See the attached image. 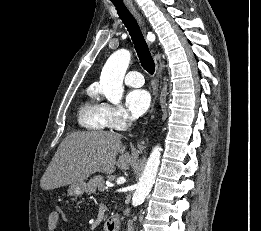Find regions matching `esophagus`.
Here are the masks:
<instances>
[{
    "mask_svg": "<svg viewBox=\"0 0 261 231\" xmlns=\"http://www.w3.org/2000/svg\"><path fill=\"white\" fill-rule=\"evenodd\" d=\"M125 4H126V6L128 7V9L132 12V14L138 19V21H139L140 23H142L141 16H140V14L138 13V11L136 10V8H135V6L133 5L132 1H131V0H125ZM156 97H157V95H155V98H154V100H153V104H152V109H151V110H153Z\"/></svg>",
    "mask_w": 261,
    "mask_h": 231,
    "instance_id": "34e87169",
    "label": "esophagus"
}]
</instances>
